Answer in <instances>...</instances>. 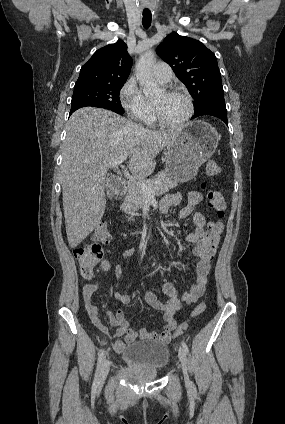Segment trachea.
Returning a JSON list of instances; mask_svg holds the SVG:
<instances>
[{
    "instance_id": "obj_1",
    "label": "trachea",
    "mask_w": 285,
    "mask_h": 424,
    "mask_svg": "<svg viewBox=\"0 0 285 424\" xmlns=\"http://www.w3.org/2000/svg\"><path fill=\"white\" fill-rule=\"evenodd\" d=\"M151 20H152L151 12L149 10L143 11L142 23L145 29H148L151 26Z\"/></svg>"
}]
</instances>
